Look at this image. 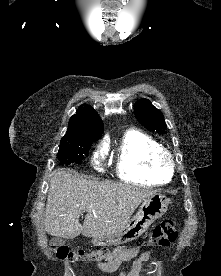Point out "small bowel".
<instances>
[{
	"label": "small bowel",
	"instance_id": "obj_1",
	"mask_svg": "<svg viewBox=\"0 0 221 276\" xmlns=\"http://www.w3.org/2000/svg\"><path fill=\"white\" fill-rule=\"evenodd\" d=\"M138 253V248L118 250L109 259L97 265L104 273H114L118 270L121 262L130 260ZM151 263L150 252L144 251L140 257L133 262L129 270L121 271L118 276H140Z\"/></svg>",
	"mask_w": 221,
	"mask_h": 276
}]
</instances>
